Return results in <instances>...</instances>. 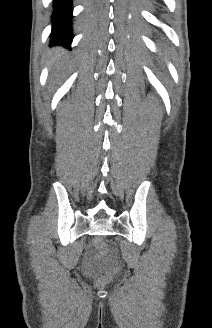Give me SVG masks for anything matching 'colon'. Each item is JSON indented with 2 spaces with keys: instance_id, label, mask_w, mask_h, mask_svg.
Segmentation results:
<instances>
[{
  "instance_id": "obj_1",
  "label": "colon",
  "mask_w": 212,
  "mask_h": 328,
  "mask_svg": "<svg viewBox=\"0 0 212 328\" xmlns=\"http://www.w3.org/2000/svg\"><path fill=\"white\" fill-rule=\"evenodd\" d=\"M98 257L100 259H107L110 256L109 248L101 241H97ZM111 267L113 272H117L120 269V264L116 260H112Z\"/></svg>"
}]
</instances>
